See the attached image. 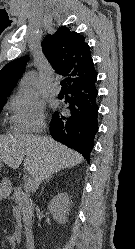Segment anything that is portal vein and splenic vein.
<instances>
[{
  "mask_svg": "<svg viewBox=\"0 0 135 249\" xmlns=\"http://www.w3.org/2000/svg\"><path fill=\"white\" fill-rule=\"evenodd\" d=\"M32 188V179L28 178L27 181L25 182L24 189L26 191H30Z\"/></svg>",
  "mask_w": 135,
  "mask_h": 249,
  "instance_id": "1",
  "label": "portal vein and splenic vein"
}]
</instances>
